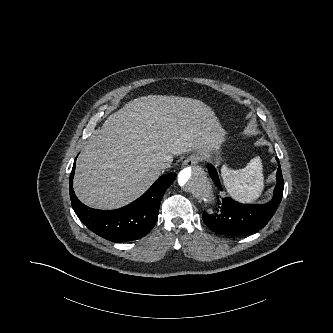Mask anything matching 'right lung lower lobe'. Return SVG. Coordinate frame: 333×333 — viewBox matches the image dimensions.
Returning <instances> with one entry per match:
<instances>
[{
    "label": "right lung lower lobe",
    "mask_w": 333,
    "mask_h": 333,
    "mask_svg": "<svg viewBox=\"0 0 333 333\" xmlns=\"http://www.w3.org/2000/svg\"><path fill=\"white\" fill-rule=\"evenodd\" d=\"M74 172L75 162L69 183L71 204L76 215L91 231L113 242L136 240L150 232L157 220L161 199L176 178L175 173L163 175L131 204L103 211L87 207L75 196L72 187Z\"/></svg>",
    "instance_id": "right-lung-lower-lobe-1"
}]
</instances>
